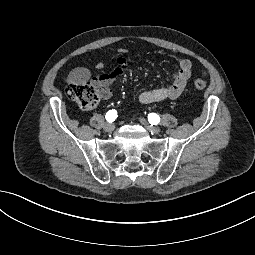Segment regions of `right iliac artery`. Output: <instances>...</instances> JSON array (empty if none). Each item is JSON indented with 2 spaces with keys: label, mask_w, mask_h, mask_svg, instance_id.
I'll list each match as a JSON object with an SVG mask.
<instances>
[{
  "label": "right iliac artery",
  "mask_w": 255,
  "mask_h": 255,
  "mask_svg": "<svg viewBox=\"0 0 255 255\" xmlns=\"http://www.w3.org/2000/svg\"><path fill=\"white\" fill-rule=\"evenodd\" d=\"M117 111L115 109L109 110L106 113V120L108 122H113L117 118Z\"/></svg>",
  "instance_id": "82829eb1"
}]
</instances>
